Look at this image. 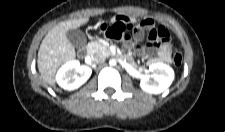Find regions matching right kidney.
Listing matches in <instances>:
<instances>
[{"label": "right kidney", "mask_w": 225, "mask_h": 132, "mask_svg": "<svg viewBox=\"0 0 225 132\" xmlns=\"http://www.w3.org/2000/svg\"><path fill=\"white\" fill-rule=\"evenodd\" d=\"M92 69L80 65L78 61H70L63 65L56 75L58 85L65 90H75L82 86L91 76Z\"/></svg>", "instance_id": "1"}]
</instances>
